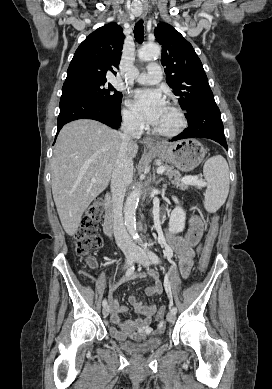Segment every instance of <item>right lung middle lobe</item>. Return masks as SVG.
<instances>
[{
	"label": "right lung middle lobe",
	"mask_w": 272,
	"mask_h": 389,
	"mask_svg": "<svg viewBox=\"0 0 272 389\" xmlns=\"http://www.w3.org/2000/svg\"><path fill=\"white\" fill-rule=\"evenodd\" d=\"M107 80H85L64 84L62 96H85L110 106H120L122 93L118 92Z\"/></svg>",
	"instance_id": "1"
}]
</instances>
